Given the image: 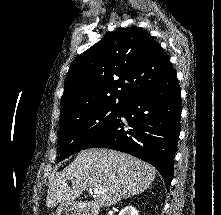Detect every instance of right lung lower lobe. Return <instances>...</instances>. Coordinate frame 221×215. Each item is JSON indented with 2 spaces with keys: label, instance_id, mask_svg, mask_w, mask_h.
<instances>
[{
  "label": "right lung lower lobe",
  "instance_id": "obj_1",
  "mask_svg": "<svg viewBox=\"0 0 221 215\" xmlns=\"http://www.w3.org/2000/svg\"><path fill=\"white\" fill-rule=\"evenodd\" d=\"M180 99L173 70L163 81L123 104L114 122L88 137L77 151L104 147L131 154L156 167L168 188L180 134ZM119 117L126 118L130 129Z\"/></svg>",
  "mask_w": 221,
  "mask_h": 215
}]
</instances>
